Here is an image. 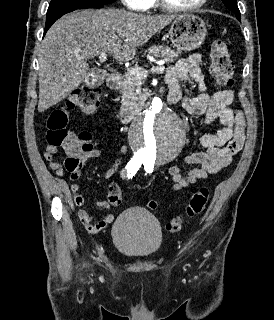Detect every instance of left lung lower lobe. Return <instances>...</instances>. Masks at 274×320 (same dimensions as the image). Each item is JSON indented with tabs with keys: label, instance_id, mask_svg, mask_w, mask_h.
<instances>
[{
	"label": "left lung lower lobe",
	"instance_id": "left-lung-lower-lobe-1",
	"mask_svg": "<svg viewBox=\"0 0 274 320\" xmlns=\"http://www.w3.org/2000/svg\"><path fill=\"white\" fill-rule=\"evenodd\" d=\"M237 19L240 20L241 19V16L240 14L236 15Z\"/></svg>",
	"mask_w": 274,
	"mask_h": 320
}]
</instances>
